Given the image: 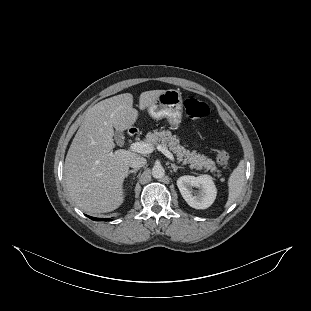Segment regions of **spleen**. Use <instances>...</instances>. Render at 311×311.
<instances>
[{
    "label": "spleen",
    "instance_id": "spleen-1",
    "mask_svg": "<svg viewBox=\"0 0 311 311\" xmlns=\"http://www.w3.org/2000/svg\"><path fill=\"white\" fill-rule=\"evenodd\" d=\"M245 183V170H244V160H241L231 173L228 186H229V196L226 203V207L230 206L241 194Z\"/></svg>",
    "mask_w": 311,
    "mask_h": 311
}]
</instances>
